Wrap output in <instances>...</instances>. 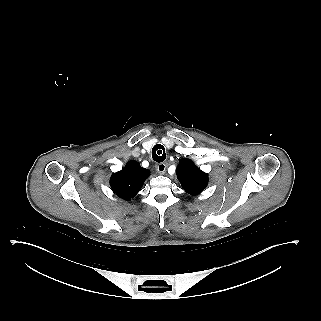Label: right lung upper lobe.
I'll use <instances>...</instances> for the list:
<instances>
[{
  "label": "right lung upper lobe",
  "instance_id": "obj_1",
  "mask_svg": "<svg viewBox=\"0 0 321 321\" xmlns=\"http://www.w3.org/2000/svg\"><path fill=\"white\" fill-rule=\"evenodd\" d=\"M149 173L138 162L131 160L121 171L111 176V188L117 196L131 200L139 192Z\"/></svg>",
  "mask_w": 321,
  "mask_h": 321
}]
</instances>
